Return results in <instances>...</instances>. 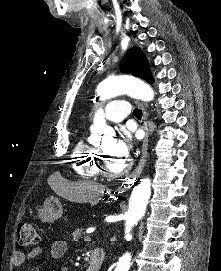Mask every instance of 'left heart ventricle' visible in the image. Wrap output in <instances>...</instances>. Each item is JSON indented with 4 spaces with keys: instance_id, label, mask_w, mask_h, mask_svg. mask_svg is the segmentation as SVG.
Segmentation results:
<instances>
[{
    "instance_id": "left-heart-ventricle-1",
    "label": "left heart ventricle",
    "mask_w": 221,
    "mask_h": 271,
    "mask_svg": "<svg viewBox=\"0 0 221 271\" xmlns=\"http://www.w3.org/2000/svg\"><path fill=\"white\" fill-rule=\"evenodd\" d=\"M104 165H108L111 175H122L123 160H117V157H114V160H104Z\"/></svg>"
}]
</instances>
